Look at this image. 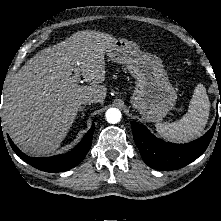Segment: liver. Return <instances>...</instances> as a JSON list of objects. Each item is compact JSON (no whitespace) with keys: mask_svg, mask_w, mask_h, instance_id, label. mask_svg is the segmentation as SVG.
I'll return each mask as SVG.
<instances>
[{"mask_svg":"<svg viewBox=\"0 0 221 221\" xmlns=\"http://www.w3.org/2000/svg\"><path fill=\"white\" fill-rule=\"evenodd\" d=\"M115 41L107 33L78 31L37 53L14 74L2 98V120L25 153L39 156L55 152L82 101L104 102V56ZM75 67L89 85L77 84L72 74Z\"/></svg>","mask_w":221,"mask_h":221,"instance_id":"obj_1","label":"liver"}]
</instances>
